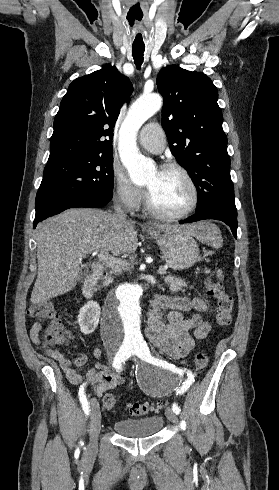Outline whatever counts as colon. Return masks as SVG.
<instances>
[{
    "instance_id": "colon-1",
    "label": "colon",
    "mask_w": 279,
    "mask_h": 490,
    "mask_svg": "<svg viewBox=\"0 0 279 490\" xmlns=\"http://www.w3.org/2000/svg\"><path fill=\"white\" fill-rule=\"evenodd\" d=\"M207 295L212 297L217 303L215 321L217 326L226 327L231 323L233 314V301L229 294L226 293L224 286L217 279L207 274L203 281ZM29 315L35 319L44 322L45 327L41 329L42 338L47 347H53L72 338V329L62 328L59 324L58 314L50 303L35 304L29 309ZM208 363V356L205 353H198L194 358V366L198 372H201ZM116 400L111 393H106L103 397V406L106 410H113ZM160 408L158 403L150 401L134 402L128 406L130 416H141L153 414Z\"/></svg>"
}]
</instances>
